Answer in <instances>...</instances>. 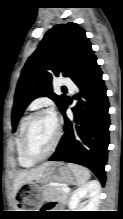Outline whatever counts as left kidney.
<instances>
[{"label": "left kidney", "instance_id": "5707ae66", "mask_svg": "<svg viewBox=\"0 0 123 219\" xmlns=\"http://www.w3.org/2000/svg\"><path fill=\"white\" fill-rule=\"evenodd\" d=\"M101 185L97 180L77 188L70 196L68 206L72 211H98ZM88 198V202L81 203V199Z\"/></svg>", "mask_w": 123, "mask_h": 219}]
</instances>
